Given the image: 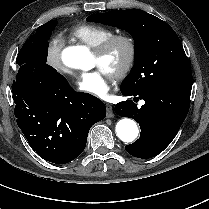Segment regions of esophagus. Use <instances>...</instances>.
Listing matches in <instances>:
<instances>
[{
	"mask_svg": "<svg viewBox=\"0 0 209 209\" xmlns=\"http://www.w3.org/2000/svg\"><path fill=\"white\" fill-rule=\"evenodd\" d=\"M106 109H107V118H112L114 117V112H113V107L110 104H106Z\"/></svg>",
	"mask_w": 209,
	"mask_h": 209,
	"instance_id": "esophagus-1",
	"label": "esophagus"
}]
</instances>
